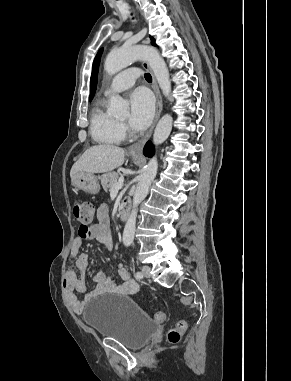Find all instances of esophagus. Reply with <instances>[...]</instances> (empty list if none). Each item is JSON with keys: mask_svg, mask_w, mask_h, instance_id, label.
Wrapping results in <instances>:
<instances>
[{"mask_svg": "<svg viewBox=\"0 0 291 381\" xmlns=\"http://www.w3.org/2000/svg\"><path fill=\"white\" fill-rule=\"evenodd\" d=\"M142 66L144 68H146L152 76V88H153L154 93L156 95V113H155L153 123H152L150 129L148 130V132L139 141H137L136 143L132 144L129 147V149H128L129 153L135 154V155H141L142 154V149H143L145 143L150 138V136L154 130V127H155V125H156V123H157V121L161 115L162 107H163L162 96H161L156 78H155L150 66L145 61L142 62Z\"/></svg>", "mask_w": 291, "mask_h": 381, "instance_id": "esophagus-1", "label": "esophagus"}]
</instances>
